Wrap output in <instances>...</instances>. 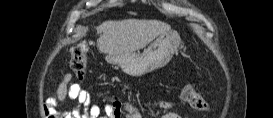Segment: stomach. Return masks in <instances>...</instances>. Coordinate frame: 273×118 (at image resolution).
I'll return each mask as SVG.
<instances>
[{
  "label": "stomach",
  "instance_id": "stomach-1",
  "mask_svg": "<svg viewBox=\"0 0 273 118\" xmlns=\"http://www.w3.org/2000/svg\"><path fill=\"white\" fill-rule=\"evenodd\" d=\"M180 44L179 34L169 30L157 36L142 53L107 55L106 60L119 66L126 74L138 77L165 66Z\"/></svg>",
  "mask_w": 273,
  "mask_h": 118
}]
</instances>
